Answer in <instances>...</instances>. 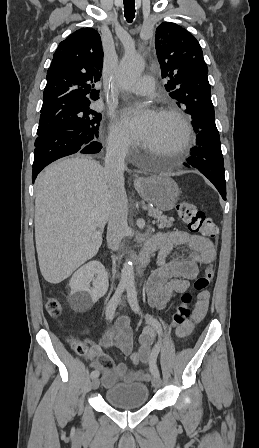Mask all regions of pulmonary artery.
Here are the masks:
<instances>
[{"mask_svg": "<svg viewBox=\"0 0 259 448\" xmlns=\"http://www.w3.org/2000/svg\"><path fill=\"white\" fill-rule=\"evenodd\" d=\"M120 68L121 71L133 78L134 81H149L154 80L152 76L147 75H141V65L135 62L130 55H126L120 62ZM124 91L127 93H133V94H139V95H146L149 94L152 91L151 87L148 86H132L129 85L124 88Z\"/></svg>", "mask_w": 259, "mask_h": 448, "instance_id": "obj_1", "label": "pulmonary artery"}]
</instances>
